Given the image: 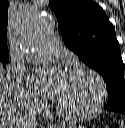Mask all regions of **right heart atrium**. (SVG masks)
<instances>
[{"label": "right heart atrium", "mask_w": 125, "mask_h": 128, "mask_svg": "<svg viewBox=\"0 0 125 128\" xmlns=\"http://www.w3.org/2000/svg\"><path fill=\"white\" fill-rule=\"evenodd\" d=\"M18 105L25 110L36 112L42 108V103L37 96L25 89L19 83L14 86Z\"/></svg>", "instance_id": "1"}]
</instances>
